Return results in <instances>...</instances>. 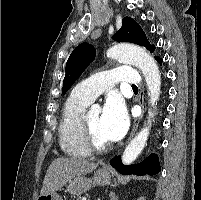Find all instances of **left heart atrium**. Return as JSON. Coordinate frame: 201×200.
Returning <instances> with one entry per match:
<instances>
[{
    "label": "left heart atrium",
    "mask_w": 201,
    "mask_h": 200,
    "mask_svg": "<svg viewBox=\"0 0 201 200\" xmlns=\"http://www.w3.org/2000/svg\"><path fill=\"white\" fill-rule=\"evenodd\" d=\"M129 127L127 110L119 99H109L101 114V128L109 142L119 141Z\"/></svg>",
    "instance_id": "left-heart-atrium-1"
}]
</instances>
